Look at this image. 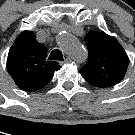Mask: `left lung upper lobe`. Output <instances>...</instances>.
<instances>
[{"label":"left lung upper lobe","mask_w":135,"mask_h":135,"mask_svg":"<svg viewBox=\"0 0 135 135\" xmlns=\"http://www.w3.org/2000/svg\"><path fill=\"white\" fill-rule=\"evenodd\" d=\"M88 62L79 71L85 80L99 88L113 86L125 76L129 58L112 36L104 32H88L85 36Z\"/></svg>","instance_id":"left-lung-upper-lobe-1"}]
</instances>
